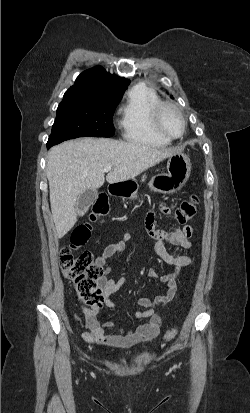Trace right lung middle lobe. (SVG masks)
Here are the masks:
<instances>
[{
	"mask_svg": "<svg viewBox=\"0 0 250 413\" xmlns=\"http://www.w3.org/2000/svg\"><path fill=\"white\" fill-rule=\"evenodd\" d=\"M121 95L68 89L57 109L47 146L78 137H111L112 116Z\"/></svg>",
	"mask_w": 250,
	"mask_h": 413,
	"instance_id": "1",
	"label": "right lung middle lobe"
}]
</instances>
